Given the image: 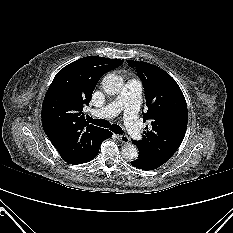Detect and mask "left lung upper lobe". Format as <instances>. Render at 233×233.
I'll use <instances>...</instances> for the list:
<instances>
[{"label":"left lung upper lobe","instance_id":"1","mask_svg":"<svg viewBox=\"0 0 233 233\" xmlns=\"http://www.w3.org/2000/svg\"><path fill=\"white\" fill-rule=\"evenodd\" d=\"M143 82L148 109L143 119L151 120L143 139L133 141L143 155L164 164L181 145L188 122L187 104L176 81L158 66L128 60Z\"/></svg>","mask_w":233,"mask_h":233}]
</instances>
